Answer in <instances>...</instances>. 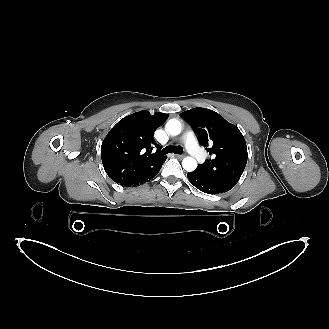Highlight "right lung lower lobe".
Returning <instances> with one entry per match:
<instances>
[{
  "label": "right lung lower lobe",
  "instance_id": "right-lung-lower-lobe-1",
  "mask_svg": "<svg viewBox=\"0 0 329 329\" xmlns=\"http://www.w3.org/2000/svg\"><path fill=\"white\" fill-rule=\"evenodd\" d=\"M165 160L159 162L154 168H152L148 173H146L145 175H143L142 177H140L139 179L124 185V186H138L141 185L142 183H145L147 181H150L151 179H153L159 172V170L161 169V166L163 164Z\"/></svg>",
  "mask_w": 329,
  "mask_h": 329
}]
</instances>
